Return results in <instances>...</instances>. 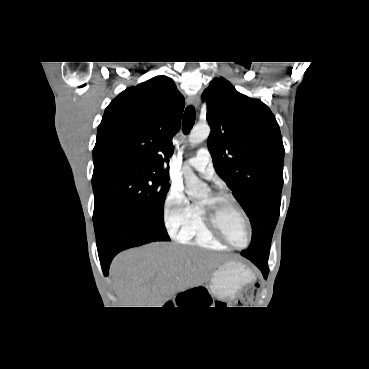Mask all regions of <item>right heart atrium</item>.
I'll use <instances>...</instances> for the list:
<instances>
[{
    "label": "right heart atrium",
    "mask_w": 369,
    "mask_h": 369,
    "mask_svg": "<svg viewBox=\"0 0 369 369\" xmlns=\"http://www.w3.org/2000/svg\"><path fill=\"white\" fill-rule=\"evenodd\" d=\"M194 205L179 185H172L164 199L163 217L165 226L172 236L179 237L189 225Z\"/></svg>",
    "instance_id": "obj_1"
}]
</instances>
